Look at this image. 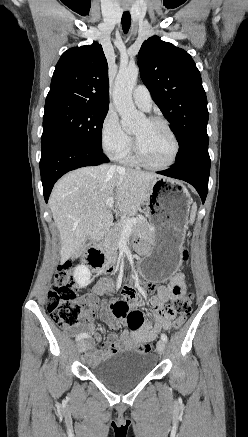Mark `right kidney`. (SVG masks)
<instances>
[{
  "instance_id": "right-kidney-1",
  "label": "right kidney",
  "mask_w": 248,
  "mask_h": 437,
  "mask_svg": "<svg viewBox=\"0 0 248 437\" xmlns=\"http://www.w3.org/2000/svg\"><path fill=\"white\" fill-rule=\"evenodd\" d=\"M74 279L77 282V284L81 287H85L90 282L91 273L88 267L85 265H78L74 269Z\"/></svg>"
}]
</instances>
